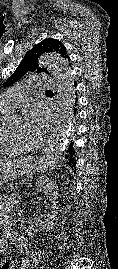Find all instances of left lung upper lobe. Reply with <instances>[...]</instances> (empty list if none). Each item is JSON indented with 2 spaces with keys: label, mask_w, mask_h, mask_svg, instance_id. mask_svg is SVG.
Wrapping results in <instances>:
<instances>
[{
  "label": "left lung upper lobe",
  "mask_w": 118,
  "mask_h": 269,
  "mask_svg": "<svg viewBox=\"0 0 118 269\" xmlns=\"http://www.w3.org/2000/svg\"><path fill=\"white\" fill-rule=\"evenodd\" d=\"M46 52H55L57 54H60L66 60H70L69 56L66 53L65 46L61 42L56 39H45L27 52L26 56L21 61L15 72L8 78V80L3 84V86H10L14 84L28 71L34 72L36 70L37 73L43 71L48 74L46 68L38 67V58Z\"/></svg>",
  "instance_id": "5c2ea615"
}]
</instances>
